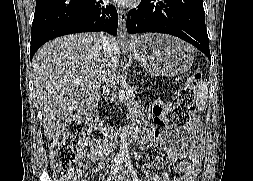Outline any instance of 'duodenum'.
<instances>
[{"label":"duodenum","instance_id":"obj_1","mask_svg":"<svg viewBox=\"0 0 253 181\" xmlns=\"http://www.w3.org/2000/svg\"><path fill=\"white\" fill-rule=\"evenodd\" d=\"M94 102H95V98H90L87 101H85L83 104H81L79 107L80 114L90 119L92 122H95L93 118V114H92V105L94 104ZM121 131H122L121 129H114L113 131H106V133H108L110 136L118 137L121 135L122 133ZM123 131H124L123 133H127L130 136L137 135L134 131L129 130V129H124Z\"/></svg>","mask_w":253,"mask_h":181}]
</instances>
